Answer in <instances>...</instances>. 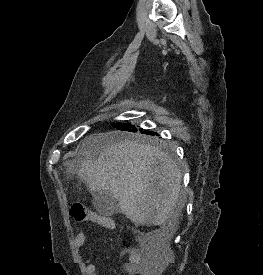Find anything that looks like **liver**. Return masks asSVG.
Here are the masks:
<instances>
[{
    "label": "liver",
    "mask_w": 263,
    "mask_h": 275,
    "mask_svg": "<svg viewBox=\"0 0 263 275\" xmlns=\"http://www.w3.org/2000/svg\"><path fill=\"white\" fill-rule=\"evenodd\" d=\"M80 148L85 158L77 166V175L91 193L109 191L136 225L176 227L185 202L182 176L159 147L99 133L87 137Z\"/></svg>",
    "instance_id": "obj_1"
}]
</instances>
